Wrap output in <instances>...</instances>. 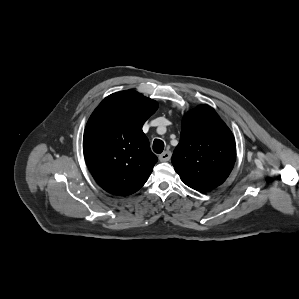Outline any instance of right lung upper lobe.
Here are the masks:
<instances>
[{"label": "right lung upper lobe", "mask_w": 299, "mask_h": 299, "mask_svg": "<svg viewBox=\"0 0 299 299\" xmlns=\"http://www.w3.org/2000/svg\"><path fill=\"white\" fill-rule=\"evenodd\" d=\"M157 108L156 101L125 90L106 97L90 116L83 152L92 176L105 191L129 195L149 178L158 159L142 126Z\"/></svg>", "instance_id": "cb5924a9"}]
</instances>
